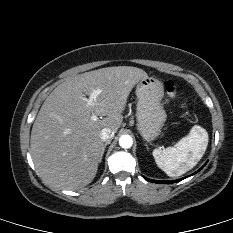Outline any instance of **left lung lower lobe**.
Instances as JSON below:
<instances>
[{
    "instance_id": "1",
    "label": "left lung lower lobe",
    "mask_w": 233,
    "mask_h": 233,
    "mask_svg": "<svg viewBox=\"0 0 233 233\" xmlns=\"http://www.w3.org/2000/svg\"><path fill=\"white\" fill-rule=\"evenodd\" d=\"M204 167V166H203ZM202 167V168H203ZM201 168V169H202ZM201 169H199V170H201ZM198 170V171H199ZM197 171V172H198ZM197 172H195V173H197ZM194 173V174H195ZM146 180H148V181H150V182H153V183H163V184H169V183H175V182H179V181H181V180H183L184 178H182V179H178V180H174V181H159V180H151V179H148V178H145Z\"/></svg>"
}]
</instances>
